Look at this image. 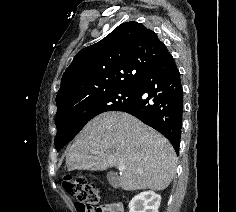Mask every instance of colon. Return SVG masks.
<instances>
[{
  "mask_svg": "<svg viewBox=\"0 0 236 212\" xmlns=\"http://www.w3.org/2000/svg\"><path fill=\"white\" fill-rule=\"evenodd\" d=\"M65 190L72 195L80 212H104L100 205L97 186L84 177L67 176L63 180Z\"/></svg>",
  "mask_w": 236,
  "mask_h": 212,
  "instance_id": "colon-1",
  "label": "colon"
}]
</instances>
